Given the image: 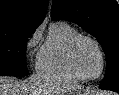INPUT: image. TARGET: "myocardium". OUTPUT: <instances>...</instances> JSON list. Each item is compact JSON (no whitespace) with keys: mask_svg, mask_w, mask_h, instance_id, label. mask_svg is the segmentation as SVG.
Returning a JSON list of instances; mask_svg holds the SVG:
<instances>
[{"mask_svg":"<svg viewBox=\"0 0 119 95\" xmlns=\"http://www.w3.org/2000/svg\"><path fill=\"white\" fill-rule=\"evenodd\" d=\"M89 41L91 43H93L96 48L98 49L100 56H101V68L99 73L96 76L93 77H89L86 76L84 74H82L80 72V70L78 69L76 62H75V53H76V49L79 45V43L81 41ZM67 61H68V65L70 67V69L72 70V72L81 80L84 81H93V80H97L98 78H100L104 71H105V67H106V56H105V52L101 46V44L93 37L88 36V35H83V34H79L78 36H76L70 43L69 47H68V52H67Z\"/></svg>","mask_w":119,"mask_h":95,"instance_id":"myocardium-1","label":"myocardium"}]
</instances>
